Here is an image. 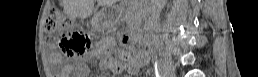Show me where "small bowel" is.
Instances as JSON below:
<instances>
[{
    "label": "small bowel",
    "instance_id": "obj_1",
    "mask_svg": "<svg viewBox=\"0 0 258 77\" xmlns=\"http://www.w3.org/2000/svg\"><path fill=\"white\" fill-rule=\"evenodd\" d=\"M124 62H119L114 66L116 72L120 71L119 67H122L127 72H137L141 67L147 65L150 56L148 53L140 52L136 54L124 53Z\"/></svg>",
    "mask_w": 258,
    "mask_h": 77
}]
</instances>
